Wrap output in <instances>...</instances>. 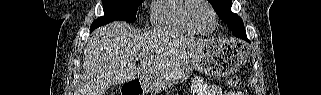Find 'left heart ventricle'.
<instances>
[{"mask_svg": "<svg viewBox=\"0 0 321 95\" xmlns=\"http://www.w3.org/2000/svg\"><path fill=\"white\" fill-rule=\"evenodd\" d=\"M195 20L199 27L205 31H209L213 27L211 12L205 6H198L194 12Z\"/></svg>", "mask_w": 321, "mask_h": 95, "instance_id": "1", "label": "left heart ventricle"}]
</instances>
